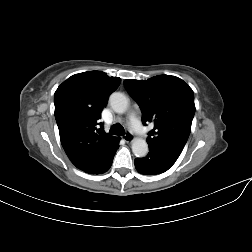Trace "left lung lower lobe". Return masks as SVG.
<instances>
[{
	"mask_svg": "<svg viewBox=\"0 0 252 252\" xmlns=\"http://www.w3.org/2000/svg\"><path fill=\"white\" fill-rule=\"evenodd\" d=\"M149 145V153L144 158H136L135 168L140 174L157 175L166 172L176 162L180 154L154 144Z\"/></svg>",
	"mask_w": 252,
	"mask_h": 252,
	"instance_id": "1",
	"label": "left lung lower lobe"
}]
</instances>
